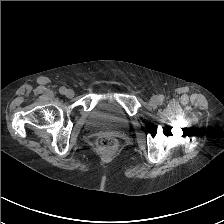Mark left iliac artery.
<instances>
[{
  "label": "left iliac artery",
  "mask_w": 224,
  "mask_h": 224,
  "mask_svg": "<svg viewBox=\"0 0 224 224\" xmlns=\"http://www.w3.org/2000/svg\"><path fill=\"white\" fill-rule=\"evenodd\" d=\"M159 100H160V102H163L164 101V96L163 95H160L159 96Z\"/></svg>",
  "instance_id": "44dca946"
}]
</instances>
